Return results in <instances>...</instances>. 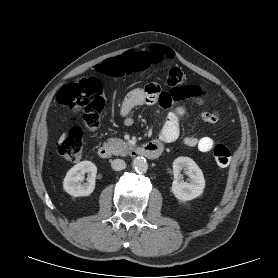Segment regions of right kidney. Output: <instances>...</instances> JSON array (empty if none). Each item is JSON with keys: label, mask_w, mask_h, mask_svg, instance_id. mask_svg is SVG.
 Returning <instances> with one entry per match:
<instances>
[{"label": "right kidney", "mask_w": 278, "mask_h": 278, "mask_svg": "<svg viewBox=\"0 0 278 278\" xmlns=\"http://www.w3.org/2000/svg\"><path fill=\"white\" fill-rule=\"evenodd\" d=\"M88 174L86 183H81L84 175ZM97 167L91 161H82L74 165L66 174L63 181L64 190L74 197L88 196L95 189Z\"/></svg>", "instance_id": "right-kidney-1"}]
</instances>
